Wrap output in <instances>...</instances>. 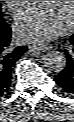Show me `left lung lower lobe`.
<instances>
[{
    "label": "left lung lower lobe",
    "instance_id": "obj_1",
    "mask_svg": "<svg viewBox=\"0 0 74 122\" xmlns=\"http://www.w3.org/2000/svg\"><path fill=\"white\" fill-rule=\"evenodd\" d=\"M70 42L74 47V34L70 37ZM66 67L55 76L56 83L63 92L74 94V48L72 52L65 50Z\"/></svg>",
    "mask_w": 74,
    "mask_h": 122
}]
</instances>
